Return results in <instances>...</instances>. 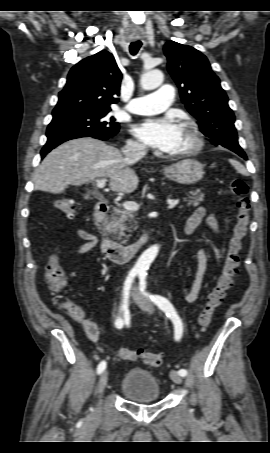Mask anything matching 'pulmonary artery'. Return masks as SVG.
Segmentation results:
<instances>
[{"instance_id": "1", "label": "pulmonary artery", "mask_w": 270, "mask_h": 453, "mask_svg": "<svg viewBox=\"0 0 270 453\" xmlns=\"http://www.w3.org/2000/svg\"><path fill=\"white\" fill-rule=\"evenodd\" d=\"M173 99V87L164 85L152 94L133 98L125 109L134 114H157L163 112L173 102Z\"/></svg>"}]
</instances>
